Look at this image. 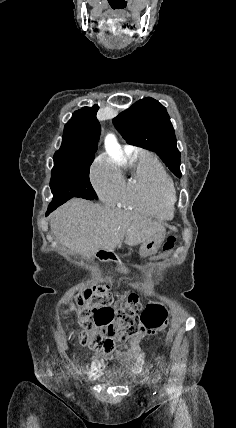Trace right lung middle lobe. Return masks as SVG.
I'll return each instance as SVG.
<instances>
[{
	"label": "right lung middle lobe",
	"mask_w": 236,
	"mask_h": 428,
	"mask_svg": "<svg viewBox=\"0 0 236 428\" xmlns=\"http://www.w3.org/2000/svg\"><path fill=\"white\" fill-rule=\"evenodd\" d=\"M92 162H54L50 180L54 196L49 207H58L73 197L97 199L89 180Z\"/></svg>",
	"instance_id": "dd1d6c3e"
}]
</instances>
